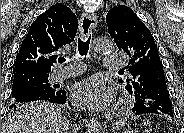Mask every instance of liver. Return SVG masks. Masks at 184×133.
<instances>
[{"label":"liver","instance_id":"obj_1","mask_svg":"<svg viewBox=\"0 0 184 133\" xmlns=\"http://www.w3.org/2000/svg\"><path fill=\"white\" fill-rule=\"evenodd\" d=\"M4 133H68L65 117L47 102L25 103L10 113L6 119Z\"/></svg>","mask_w":184,"mask_h":133}]
</instances>
